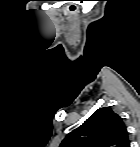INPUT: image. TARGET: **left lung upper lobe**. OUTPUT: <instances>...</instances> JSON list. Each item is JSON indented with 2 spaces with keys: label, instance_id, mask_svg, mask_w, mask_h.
<instances>
[{
  "label": "left lung upper lobe",
  "instance_id": "left-lung-upper-lobe-1",
  "mask_svg": "<svg viewBox=\"0 0 140 147\" xmlns=\"http://www.w3.org/2000/svg\"><path fill=\"white\" fill-rule=\"evenodd\" d=\"M60 147H130L123 119L110 107L96 110Z\"/></svg>",
  "mask_w": 140,
  "mask_h": 147
}]
</instances>
